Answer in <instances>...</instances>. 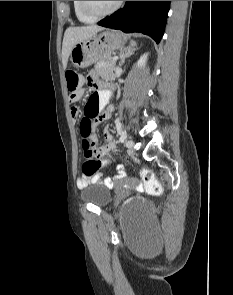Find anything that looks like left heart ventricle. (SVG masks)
Returning a JSON list of instances; mask_svg holds the SVG:
<instances>
[{"label":"left heart ventricle","mask_w":233,"mask_h":295,"mask_svg":"<svg viewBox=\"0 0 233 295\" xmlns=\"http://www.w3.org/2000/svg\"><path fill=\"white\" fill-rule=\"evenodd\" d=\"M90 7L96 12H104L110 9L117 1H88Z\"/></svg>","instance_id":"1"}]
</instances>
